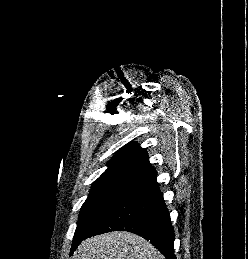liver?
I'll return each instance as SVG.
<instances>
[{
	"label": "liver",
	"mask_w": 248,
	"mask_h": 259,
	"mask_svg": "<svg viewBox=\"0 0 248 259\" xmlns=\"http://www.w3.org/2000/svg\"><path fill=\"white\" fill-rule=\"evenodd\" d=\"M73 259H165L143 237L130 232H111L81 242Z\"/></svg>",
	"instance_id": "6515ba94"
}]
</instances>
